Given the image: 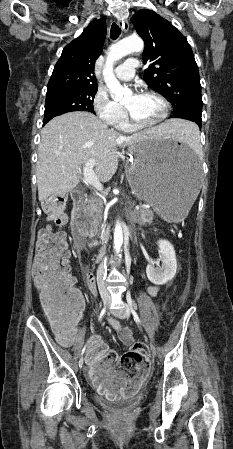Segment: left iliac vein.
Listing matches in <instances>:
<instances>
[{
	"mask_svg": "<svg viewBox=\"0 0 233 449\" xmlns=\"http://www.w3.org/2000/svg\"><path fill=\"white\" fill-rule=\"evenodd\" d=\"M120 316H121V318L128 320L130 318V313H129L128 309L126 308V309L122 310ZM149 345H150V351H151L152 355L156 356L157 351H156L155 346L152 343H149Z\"/></svg>",
	"mask_w": 233,
	"mask_h": 449,
	"instance_id": "obj_1",
	"label": "left iliac vein"
}]
</instances>
